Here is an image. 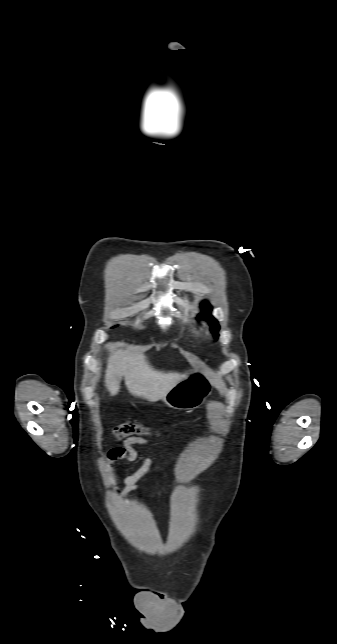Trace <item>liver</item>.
Wrapping results in <instances>:
<instances>
[{"label": "liver", "mask_w": 337, "mask_h": 644, "mask_svg": "<svg viewBox=\"0 0 337 644\" xmlns=\"http://www.w3.org/2000/svg\"><path fill=\"white\" fill-rule=\"evenodd\" d=\"M122 346V343L106 345L112 354L108 359L104 382L112 396L119 392L120 381L124 377L125 385L132 395L150 402L158 401L187 376L155 370L144 354L136 353L132 346L126 349Z\"/></svg>", "instance_id": "1"}]
</instances>
